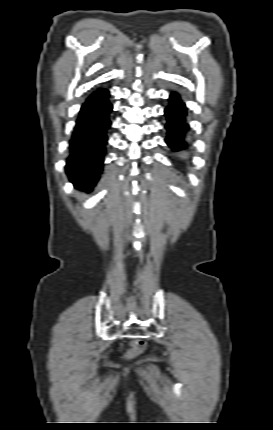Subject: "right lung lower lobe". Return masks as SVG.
<instances>
[{
  "label": "right lung lower lobe",
  "mask_w": 273,
  "mask_h": 430,
  "mask_svg": "<svg viewBox=\"0 0 273 430\" xmlns=\"http://www.w3.org/2000/svg\"><path fill=\"white\" fill-rule=\"evenodd\" d=\"M109 91L98 89L82 105L70 141L66 172L76 188L91 191L103 169L111 126Z\"/></svg>",
  "instance_id": "98d812e1"
}]
</instances>
